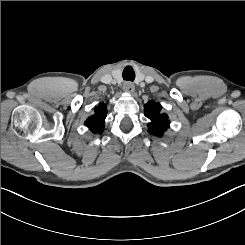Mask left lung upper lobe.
Wrapping results in <instances>:
<instances>
[{
  "label": "left lung upper lobe",
  "instance_id": "left-lung-upper-lobe-1",
  "mask_svg": "<svg viewBox=\"0 0 245 245\" xmlns=\"http://www.w3.org/2000/svg\"><path fill=\"white\" fill-rule=\"evenodd\" d=\"M162 106L154 101H149L144 106V114L150 119L148 123V131L152 135L161 137L163 132L169 127L168 116L161 112Z\"/></svg>",
  "mask_w": 245,
  "mask_h": 245
}]
</instances>
